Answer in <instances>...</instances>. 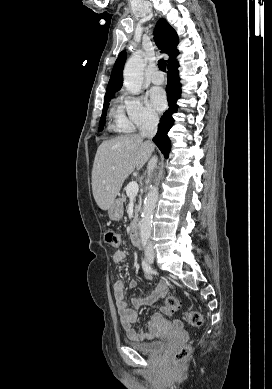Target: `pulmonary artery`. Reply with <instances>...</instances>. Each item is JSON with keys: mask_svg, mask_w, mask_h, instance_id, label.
<instances>
[{"mask_svg": "<svg viewBox=\"0 0 272 389\" xmlns=\"http://www.w3.org/2000/svg\"><path fill=\"white\" fill-rule=\"evenodd\" d=\"M150 80L155 85H160L164 82V77L159 71H154L150 74Z\"/></svg>", "mask_w": 272, "mask_h": 389, "instance_id": "pulmonary-artery-1", "label": "pulmonary artery"}]
</instances>
